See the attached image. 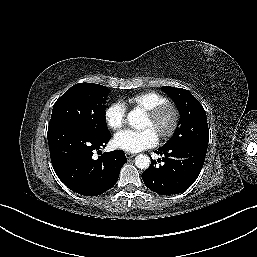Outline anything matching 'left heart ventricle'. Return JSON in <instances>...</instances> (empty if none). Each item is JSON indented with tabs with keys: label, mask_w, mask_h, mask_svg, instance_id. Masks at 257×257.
Wrapping results in <instances>:
<instances>
[{
	"label": "left heart ventricle",
	"mask_w": 257,
	"mask_h": 257,
	"mask_svg": "<svg viewBox=\"0 0 257 257\" xmlns=\"http://www.w3.org/2000/svg\"><path fill=\"white\" fill-rule=\"evenodd\" d=\"M170 123V117L167 115L162 120H160L157 124H153L150 119L145 116L143 128L144 129H151L153 130L157 135L163 130H165Z\"/></svg>",
	"instance_id": "obj_1"
}]
</instances>
